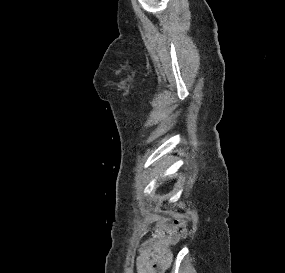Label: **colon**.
<instances>
[{
    "instance_id": "obj_1",
    "label": "colon",
    "mask_w": 285,
    "mask_h": 273,
    "mask_svg": "<svg viewBox=\"0 0 285 273\" xmlns=\"http://www.w3.org/2000/svg\"><path fill=\"white\" fill-rule=\"evenodd\" d=\"M173 226L180 230L183 234L187 231V218L183 214H176L172 221Z\"/></svg>"
}]
</instances>
